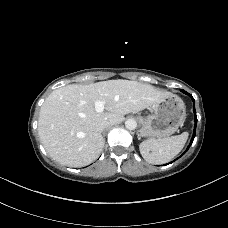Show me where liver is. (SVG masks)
<instances>
[{"label": "liver", "mask_w": 228, "mask_h": 228, "mask_svg": "<svg viewBox=\"0 0 228 228\" xmlns=\"http://www.w3.org/2000/svg\"><path fill=\"white\" fill-rule=\"evenodd\" d=\"M169 94L149 84L123 79L56 89L40 109L41 143L57 162L86 166L99 157L105 144L96 129L99 122L119 124L124 115L151 107ZM97 101L104 102V112L96 111Z\"/></svg>", "instance_id": "1"}]
</instances>
